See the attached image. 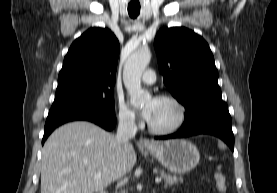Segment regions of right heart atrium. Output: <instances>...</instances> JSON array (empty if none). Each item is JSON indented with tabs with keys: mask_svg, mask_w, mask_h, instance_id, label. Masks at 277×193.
I'll use <instances>...</instances> for the list:
<instances>
[{
	"mask_svg": "<svg viewBox=\"0 0 277 193\" xmlns=\"http://www.w3.org/2000/svg\"><path fill=\"white\" fill-rule=\"evenodd\" d=\"M118 119L125 126H134L137 123L136 113L128 107L123 99L117 101Z\"/></svg>",
	"mask_w": 277,
	"mask_h": 193,
	"instance_id": "d8ad5b80",
	"label": "right heart atrium"
}]
</instances>
